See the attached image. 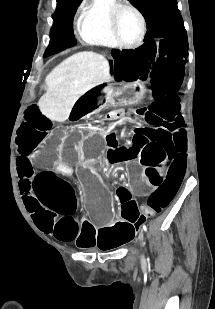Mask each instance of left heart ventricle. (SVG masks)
<instances>
[{
    "mask_svg": "<svg viewBox=\"0 0 215 309\" xmlns=\"http://www.w3.org/2000/svg\"><path fill=\"white\" fill-rule=\"evenodd\" d=\"M121 13L120 28L117 29L120 33L121 38L118 41L132 42L137 35V22L133 14L128 11H119Z\"/></svg>",
    "mask_w": 215,
    "mask_h": 309,
    "instance_id": "left-heart-ventricle-1",
    "label": "left heart ventricle"
}]
</instances>
